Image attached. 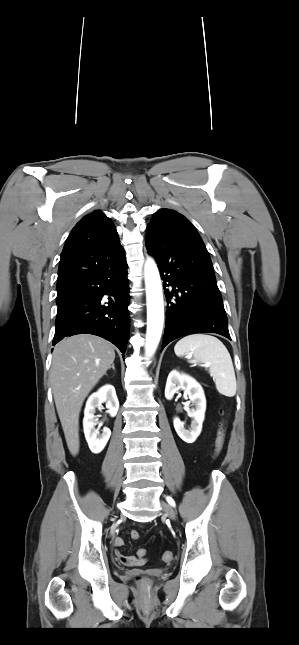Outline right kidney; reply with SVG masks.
I'll list each match as a JSON object with an SVG mask.
<instances>
[{"instance_id": "ca27d5eb", "label": "right kidney", "mask_w": 299, "mask_h": 645, "mask_svg": "<svg viewBox=\"0 0 299 645\" xmlns=\"http://www.w3.org/2000/svg\"><path fill=\"white\" fill-rule=\"evenodd\" d=\"M103 402H106V407L108 413L111 417L116 416L119 409V401L116 396L115 388L112 385H105L101 387L97 392L93 393L87 400L85 410H84V419H83V428L86 441L90 450L98 454L106 446L111 431L109 428H104L102 433L99 434V431L95 428L97 424V419H95V410L99 408Z\"/></svg>"}]
</instances>
